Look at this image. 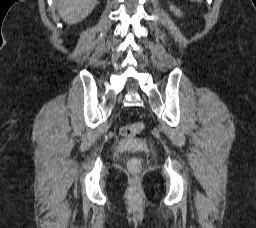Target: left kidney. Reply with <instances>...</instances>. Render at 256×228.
Here are the masks:
<instances>
[{"mask_svg": "<svg viewBox=\"0 0 256 228\" xmlns=\"http://www.w3.org/2000/svg\"><path fill=\"white\" fill-rule=\"evenodd\" d=\"M170 9H171L177 16H181V12H180L178 9H176L175 7L170 6Z\"/></svg>", "mask_w": 256, "mask_h": 228, "instance_id": "left-kidney-1", "label": "left kidney"}]
</instances>
